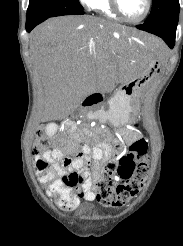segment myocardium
Masks as SVG:
<instances>
[{
    "mask_svg": "<svg viewBox=\"0 0 183 246\" xmlns=\"http://www.w3.org/2000/svg\"><path fill=\"white\" fill-rule=\"evenodd\" d=\"M146 2V7H145V11L144 13L136 18V19H131V18H128L122 11L121 9V5H120V0H110V3H111V7L113 9V11L124 21L128 22V23H133V24H136V23H139L141 21H143L147 16L148 14L150 13V10H151V5H152V0H145Z\"/></svg>",
    "mask_w": 183,
    "mask_h": 246,
    "instance_id": "myocardium-1",
    "label": "myocardium"
}]
</instances>
